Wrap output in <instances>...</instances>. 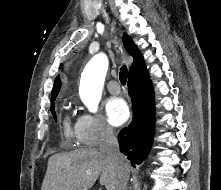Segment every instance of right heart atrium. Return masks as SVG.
<instances>
[{
    "label": "right heart atrium",
    "mask_w": 221,
    "mask_h": 190,
    "mask_svg": "<svg viewBox=\"0 0 221 190\" xmlns=\"http://www.w3.org/2000/svg\"><path fill=\"white\" fill-rule=\"evenodd\" d=\"M78 141L87 147H95L113 137V130L99 114L83 112L75 123Z\"/></svg>",
    "instance_id": "obj_1"
}]
</instances>
